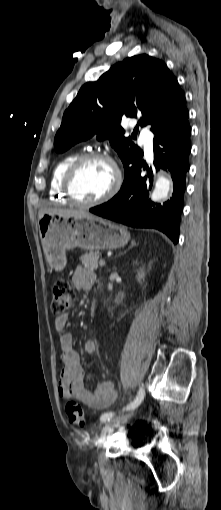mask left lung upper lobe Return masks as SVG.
Segmentation results:
<instances>
[{"label": "left lung upper lobe", "instance_id": "1", "mask_svg": "<svg viewBox=\"0 0 221 510\" xmlns=\"http://www.w3.org/2000/svg\"><path fill=\"white\" fill-rule=\"evenodd\" d=\"M137 115L138 125H151L154 134L189 116L174 75L162 60L146 54L126 58L81 87L63 115L54 148L61 153L94 135L107 138L123 162L125 180L139 165L143 151L131 137H124L120 122Z\"/></svg>", "mask_w": 221, "mask_h": 510}]
</instances>
